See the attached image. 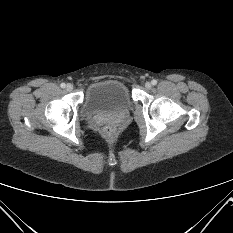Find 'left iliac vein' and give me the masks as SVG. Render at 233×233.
<instances>
[{"label":"left iliac vein","mask_w":233,"mask_h":233,"mask_svg":"<svg viewBox=\"0 0 233 233\" xmlns=\"http://www.w3.org/2000/svg\"><path fill=\"white\" fill-rule=\"evenodd\" d=\"M145 87H146L147 89H150V88L152 87V85H151L150 82H146V83H145Z\"/></svg>","instance_id":"4c4485c4"}]
</instances>
